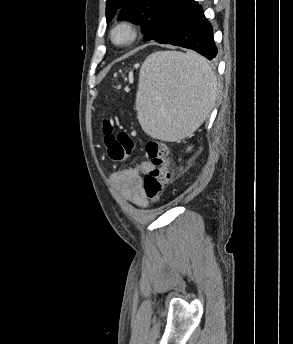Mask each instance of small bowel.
I'll list each match as a JSON object with an SVG mask.
<instances>
[{
	"label": "small bowel",
	"mask_w": 293,
	"mask_h": 344,
	"mask_svg": "<svg viewBox=\"0 0 293 344\" xmlns=\"http://www.w3.org/2000/svg\"><path fill=\"white\" fill-rule=\"evenodd\" d=\"M153 165L149 161L120 170L116 177L121 186V192L125 200L139 208L147 206L148 201L142 190V174L150 172Z\"/></svg>",
	"instance_id": "c3829d8e"
}]
</instances>
